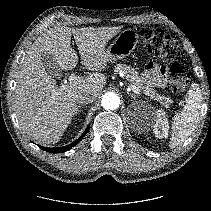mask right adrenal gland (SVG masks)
<instances>
[{
    "mask_svg": "<svg viewBox=\"0 0 211 211\" xmlns=\"http://www.w3.org/2000/svg\"><path fill=\"white\" fill-rule=\"evenodd\" d=\"M80 107V106H79ZM79 113V109L77 108V110H76V112H75V114L77 115Z\"/></svg>",
    "mask_w": 211,
    "mask_h": 211,
    "instance_id": "2a0ac1e0",
    "label": "right adrenal gland"
}]
</instances>
